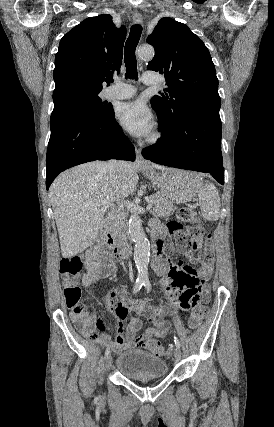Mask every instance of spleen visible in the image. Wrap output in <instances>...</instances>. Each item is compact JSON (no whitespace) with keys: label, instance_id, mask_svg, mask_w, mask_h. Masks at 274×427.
Segmentation results:
<instances>
[{"label":"spleen","instance_id":"spleen-1","mask_svg":"<svg viewBox=\"0 0 274 427\" xmlns=\"http://www.w3.org/2000/svg\"><path fill=\"white\" fill-rule=\"evenodd\" d=\"M197 186L196 192L199 198L202 217L209 219V221H217L221 206L217 188H215L214 184H210V182L203 184L202 180L198 182Z\"/></svg>","mask_w":274,"mask_h":427}]
</instances>
